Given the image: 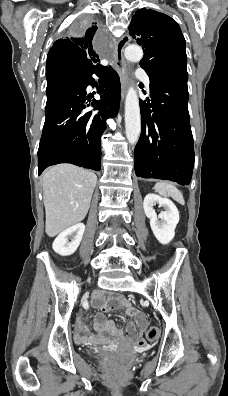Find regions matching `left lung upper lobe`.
<instances>
[{
    "mask_svg": "<svg viewBox=\"0 0 228 396\" xmlns=\"http://www.w3.org/2000/svg\"><path fill=\"white\" fill-rule=\"evenodd\" d=\"M129 33L144 50L140 65L148 75H167L187 85L186 42L174 19L143 8L132 17Z\"/></svg>",
    "mask_w": 228,
    "mask_h": 396,
    "instance_id": "left-lung-upper-lobe-1",
    "label": "left lung upper lobe"
}]
</instances>
